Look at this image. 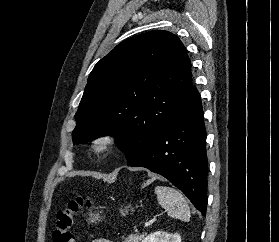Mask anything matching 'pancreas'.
Masks as SVG:
<instances>
[{"label":"pancreas","instance_id":"obj_1","mask_svg":"<svg viewBox=\"0 0 279 242\" xmlns=\"http://www.w3.org/2000/svg\"><path fill=\"white\" fill-rule=\"evenodd\" d=\"M144 238V234H134V235H130L126 238H123L124 241L123 242H140L142 239Z\"/></svg>","mask_w":279,"mask_h":242}]
</instances>
